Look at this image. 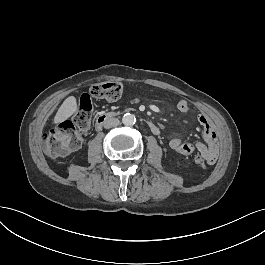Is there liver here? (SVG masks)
Listing matches in <instances>:
<instances>
[{
    "label": "liver",
    "instance_id": "obj_1",
    "mask_svg": "<svg viewBox=\"0 0 265 265\" xmlns=\"http://www.w3.org/2000/svg\"><path fill=\"white\" fill-rule=\"evenodd\" d=\"M78 110L77 99L75 96L67 97L61 106L56 111L52 123L54 125H59L62 122L66 121Z\"/></svg>",
    "mask_w": 265,
    "mask_h": 265
}]
</instances>
